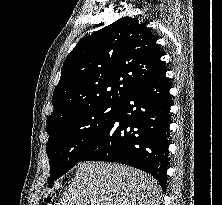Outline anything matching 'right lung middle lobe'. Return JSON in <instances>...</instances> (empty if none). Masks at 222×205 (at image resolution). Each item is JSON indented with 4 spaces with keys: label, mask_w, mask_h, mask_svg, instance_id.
I'll return each instance as SVG.
<instances>
[{
    "label": "right lung middle lobe",
    "mask_w": 222,
    "mask_h": 205,
    "mask_svg": "<svg viewBox=\"0 0 222 205\" xmlns=\"http://www.w3.org/2000/svg\"><path fill=\"white\" fill-rule=\"evenodd\" d=\"M119 104H94L46 126L49 135L46 145L50 163L49 186L82 159L92 140L110 123Z\"/></svg>",
    "instance_id": "1"
}]
</instances>
